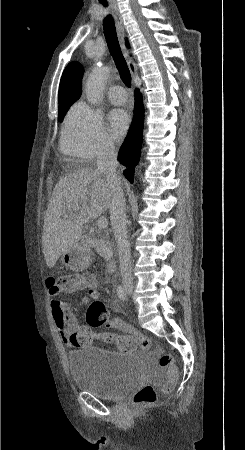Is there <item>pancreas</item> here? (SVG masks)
I'll return each instance as SVG.
<instances>
[{
	"label": "pancreas",
	"mask_w": 245,
	"mask_h": 450,
	"mask_svg": "<svg viewBox=\"0 0 245 450\" xmlns=\"http://www.w3.org/2000/svg\"><path fill=\"white\" fill-rule=\"evenodd\" d=\"M97 250L105 260H109V256H110V252H111L109 247H106V246L100 244L97 247Z\"/></svg>",
	"instance_id": "pancreas-1"
}]
</instances>
